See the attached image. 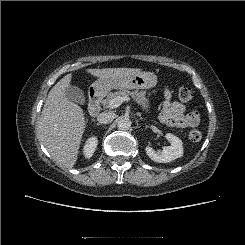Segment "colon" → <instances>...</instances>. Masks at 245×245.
I'll use <instances>...</instances> for the list:
<instances>
[{"mask_svg":"<svg viewBox=\"0 0 245 245\" xmlns=\"http://www.w3.org/2000/svg\"><path fill=\"white\" fill-rule=\"evenodd\" d=\"M178 98L182 102H188L192 98V92L187 87H181L178 90ZM202 138V133L198 129H193L189 133V139L193 142H198Z\"/></svg>","mask_w":245,"mask_h":245,"instance_id":"obj_1","label":"colon"}]
</instances>
